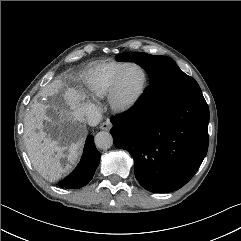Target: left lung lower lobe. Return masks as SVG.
<instances>
[{
	"instance_id": "0a47b994",
	"label": "left lung lower lobe",
	"mask_w": 241,
	"mask_h": 241,
	"mask_svg": "<svg viewBox=\"0 0 241 241\" xmlns=\"http://www.w3.org/2000/svg\"><path fill=\"white\" fill-rule=\"evenodd\" d=\"M116 147L134 158V173L148 191L183 187L208 150L209 109L201 92L173 100L161 80H152L129 111L111 118Z\"/></svg>"
}]
</instances>
